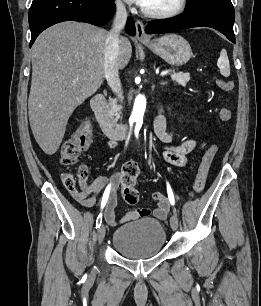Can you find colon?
<instances>
[{
    "label": "colon",
    "mask_w": 261,
    "mask_h": 306,
    "mask_svg": "<svg viewBox=\"0 0 261 306\" xmlns=\"http://www.w3.org/2000/svg\"><path fill=\"white\" fill-rule=\"evenodd\" d=\"M218 86L225 92H232L234 82L228 79L217 80ZM219 118L224 122L231 119V111L222 108L219 111ZM92 140V128L86 121L82 122L74 134L67 139L61 148V163L65 166H72L77 163L81 154L87 150ZM218 146H212L203 156L198 168L196 178L192 187V194L200 193L205 186L210 167L218 154ZM141 167L138 162H126L119 175V182L122 186L123 199L129 204H135L139 199V192L136 189V182L140 175ZM87 177V169L80 166L75 174H65L63 182L69 189H73L77 184L83 186Z\"/></svg>",
    "instance_id": "1"
}]
</instances>
